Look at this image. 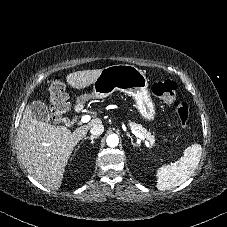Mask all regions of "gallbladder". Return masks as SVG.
Listing matches in <instances>:
<instances>
[{"mask_svg": "<svg viewBox=\"0 0 227 227\" xmlns=\"http://www.w3.org/2000/svg\"><path fill=\"white\" fill-rule=\"evenodd\" d=\"M30 109H31V112H32V116L36 120L43 121V122H47V121L50 120L48 108L41 101H33L30 104Z\"/></svg>", "mask_w": 227, "mask_h": 227, "instance_id": "obj_1", "label": "gallbladder"}]
</instances>
